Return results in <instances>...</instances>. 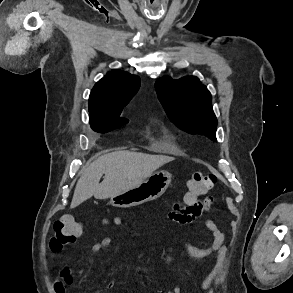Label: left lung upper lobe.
<instances>
[{"label":"left lung upper lobe","instance_id":"5c2ea615","mask_svg":"<svg viewBox=\"0 0 293 293\" xmlns=\"http://www.w3.org/2000/svg\"><path fill=\"white\" fill-rule=\"evenodd\" d=\"M155 88L173 123L188 133L203 134L216 141L217 119L212 97L197 77L173 80L164 76L156 81Z\"/></svg>","mask_w":293,"mask_h":293}]
</instances>
